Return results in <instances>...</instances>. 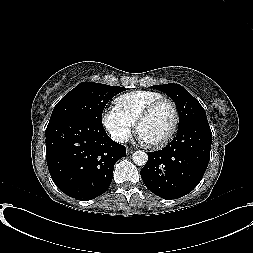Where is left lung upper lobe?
I'll return each mask as SVG.
<instances>
[{"mask_svg":"<svg viewBox=\"0 0 253 253\" xmlns=\"http://www.w3.org/2000/svg\"><path fill=\"white\" fill-rule=\"evenodd\" d=\"M152 88L167 93L175 102L179 113L178 127L191 121H207L205 110L201 104L179 84L156 85L152 86Z\"/></svg>","mask_w":253,"mask_h":253,"instance_id":"obj_1","label":"left lung upper lobe"}]
</instances>
